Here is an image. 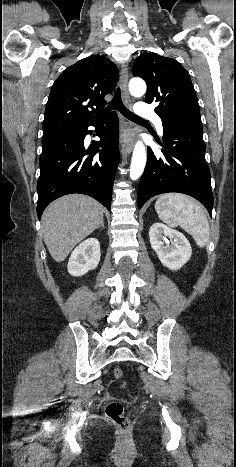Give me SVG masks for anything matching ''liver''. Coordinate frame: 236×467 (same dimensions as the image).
Returning a JSON list of instances; mask_svg holds the SVG:
<instances>
[{"instance_id": "liver-1", "label": "liver", "mask_w": 236, "mask_h": 467, "mask_svg": "<svg viewBox=\"0 0 236 467\" xmlns=\"http://www.w3.org/2000/svg\"><path fill=\"white\" fill-rule=\"evenodd\" d=\"M103 206L82 194H70L53 201L42 215L44 242L52 258L62 262L72 249L103 221Z\"/></svg>"}]
</instances>
